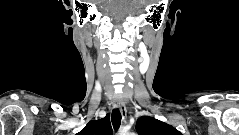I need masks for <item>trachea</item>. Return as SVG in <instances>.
<instances>
[{"label": "trachea", "instance_id": "1", "mask_svg": "<svg viewBox=\"0 0 239 135\" xmlns=\"http://www.w3.org/2000/svg\"><path fill=\"white\" fill-rule=\"evenodd\" d=\"M111 120H112L114 130L117 131L121 124V112L118 108L113 109Z\"/></svg>", "mask_w": 239, "mask_h": 135}]
</instances>
